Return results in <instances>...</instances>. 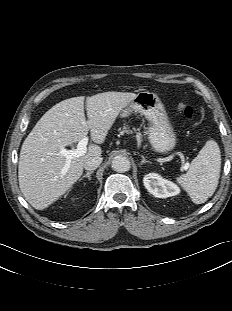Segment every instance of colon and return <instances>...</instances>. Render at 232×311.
<instances>
[{"label":"colon","instance_id":"colon-1","mask_svg":"<svg viewBox=\"0 0 232 311\" xmlns=\"http://www.w3.org/2000/svg\"><path fill=\"white\" fill-rule=\"evenodd\" d=\"M179 109L187 119H193L195 117L196 113L193 107L188 105H181Z\"/></svg>","mask_w":232,"mask_h":311}]
</instances>
